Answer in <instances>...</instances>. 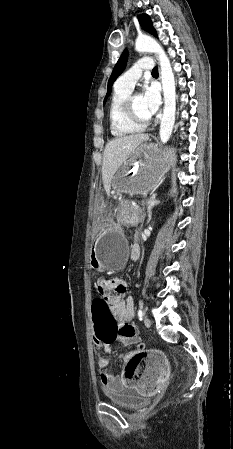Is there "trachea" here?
Returning a JSON list of instances; mask_svg holds the SVG:
<instances>
[{
    "label": "trachea",
    "instance_id": "3493384b",
    "mask_svg": "<svg viewBox=\"0 0 233 449\" xmlns=\"http://www.w3.org/2000/svg\"><path fill=\"white\" fill-rule=\"evenodd\" d=\"M152 74H158V68L154 67V69L152 70Z\"/></svg>",
    "mask_w": 233,
    "mask_h": 449
}]
</instances>
